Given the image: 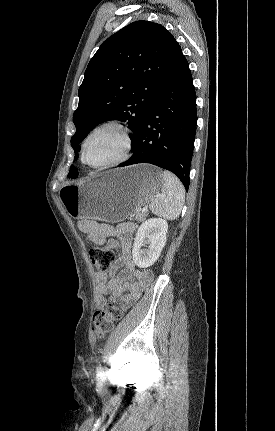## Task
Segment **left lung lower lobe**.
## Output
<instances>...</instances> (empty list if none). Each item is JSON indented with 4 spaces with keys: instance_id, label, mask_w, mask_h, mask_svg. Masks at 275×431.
<instances>
[{
    "instance_id": "obj_1",
    "label": "left lung lower lobe",
    "mask_w": 275,
    "mask_h": 431,
    "mask_svg": "<svg viewBox=\"0 0 275 431\" xmlns=\"http://www.w3.org/2000/svg\"><path fill=\"white\" fill-rule=\"evenodd\" d=\"M196 126V93L181 51L132 143L134 154L118 167L150 163L173 172L188 190Z\"/></svg>"
}]
</instances>
